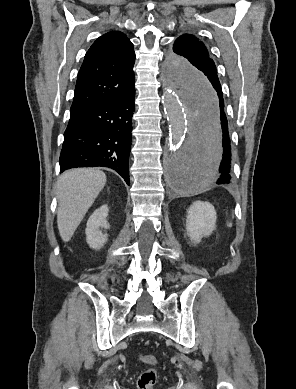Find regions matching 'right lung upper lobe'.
<instances>
[{"instance_id": "cb5924a9", "label": "right lung upper lobe", "mask_w": 296, "mask_h": 389, "mask_svg": "<svg viewBox=\"0 0 296 389\" xmlns=\"http://www.w3.org/2000/svg\"><path fill=\"white\" fill-rule=\"evenodd\" d=\"M133 44L119 31L99 37L78 73L70 114L121 96L135 80Z\"/></svg>"}]
</instances>
